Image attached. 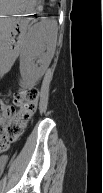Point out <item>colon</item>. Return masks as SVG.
Segmentation results:
<instances>
[{
    "mask_svg": "<svg viewBox=\"0 0 103 193\" xmlns=\"http://www.w3.org/2000/svg\"><path fill=\"white\" fill-rule=\"evenodd\" d=\"M38 90L35 88L22 89L14 94V103L18 110L3 103L1 105L4 130L0 139L2 151L14 143L22 134L28 120L37 111Z\"/></svg>",
    "mask_w": 103,
    "mask_h": 193,
    "instance_id": "5ec220e1",
    "label": "colon"
}]
</instances>
